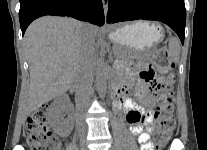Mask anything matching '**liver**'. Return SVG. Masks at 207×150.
I'll list each match as a JSON object with an SVG mask.
<instances>
[{
  "mask_svg": "<svg viewBox=\"0 0 207 150\" xmlns=\"http://www.w3.org/2000/svg\"><path fill=\"white\" fill-rule=\"evenodd\" d=\"M84 30L95 40L98 29L73 18L44 16L27 28L24 48L30 83L23 100L25 115L69 89L74 81Z\"/></svg>",
  "mask_w": 207,
  "mask_h": 150,
  "instance_id": "1",
  "label": "liver"
}]
</instances>
